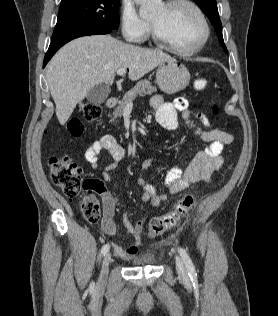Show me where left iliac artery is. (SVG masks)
<instances>
[{"mask_svg":"<svg viewBox=\"0 0 278 316\" xmlns=\"http://www.w3.org/2000/svg\"><path fill=\"white\" fill-rule=\"evenodd\" d=\"M179 253H180V256L182 257V260H183V262L188 270L189 276L195 277L197 275L196 270H195L194 264L192 263V260L189 257L188 253L183 248L179 249Z\"/></svg>","mask_w":278,"mask_h":316,"instance_id":"left-iliac-artery-1","label":"left iliac artery"}]
</instances>
